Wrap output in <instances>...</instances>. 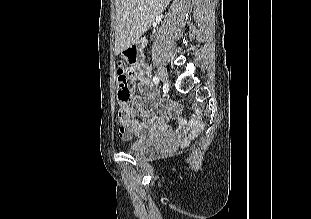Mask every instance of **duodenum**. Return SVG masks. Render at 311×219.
Here are the masks:
<instances>
[{"label":"duodenum","mask_w":311,"mask_h":219,"mask_svg":"<svg viewBox=\"0 0 311 219\" xmlns=\"http://www.w3.org/2000/svg\"><path fill=\"white\" fill-rule=\"evenodd\" d=\"M146 41L144 38L139 39L134 45L129 48V53L134 57L136 63H141L143 60V49Z\"/></svg>","instance_id":"duodenum-1"}]
</instances>
